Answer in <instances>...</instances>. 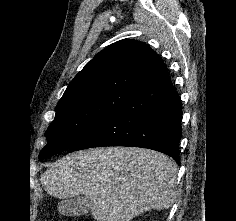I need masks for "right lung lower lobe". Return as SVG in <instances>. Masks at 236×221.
<instances>
[{
    "label": "right lung lower lobe",
    "instance_id": "right-lung-lower-lobe-1",
    "mask_svg": "<svg viewBox=\"0 0 236 221\" xmlns=\"http://www.w3.org/2000/svg\"><path fill=\"white\" fill-rule=\"evenodd\" d=\"M181 100L167 74L137 91L68 152L102 146L153 149L180 163Z\"/></svg>",
    "mask_w": 236,
    "mask_h": 221
}]
</instances>
